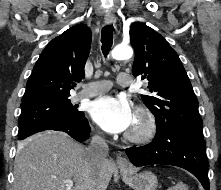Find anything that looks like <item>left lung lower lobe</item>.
<instances>
[{
  "instance_id": "0a47b994",
  "label": "left lung lower lobe",
  "mask_w": 221,
  "mask_h": 190,
  "mask_svg": "<svg viewBox=\"0 0 221 190\" xmlns=\"http://www.w3.org/2000/svg\"><path fill=\"white\" fill-rule=\"evenodd\" d=\"M205 147L204 139L188 135L175 127L159 125L151 143L125 151L135 166L153 164L178 166L191 172L205 190H210Z\"/></svg>"
}]
</instances>
